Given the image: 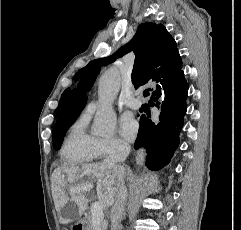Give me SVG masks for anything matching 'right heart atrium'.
<instances>
[{
	"mask_svg": "<svg viewBox=\"0 0 241 230\" xmlns=\"http://www.w3.org/2000/svg\"><path fill=\"white\" fill-rule=\"evenodd\" d=\"M128 148V144L117 137L99 140L101 156L114 157L123 155L128 151Z\"/></svg>",
	"mask_w": 241,
	"mask_h": 230,
	"instance_id": "1",
	"label": "right heart atrium"
}]
</instances>
